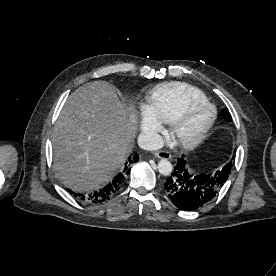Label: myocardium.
<instances>
[{"mask_svg":"<svg viewBox=\"0 0 276 276\" xmlns=\"http://www.w3.org/2000/svg\"><path fill=\"white\" fill-rule=\"evenodd\" d=\"M199 105H207L211 107L212 109V116L209 120V122L204 126V128L198 132L195 135L192 136H184L181 133L182 127L191 112L192 109ZM217 109L214 104L209 102L207 99H198L189 102L183 110L180 112V114L170 123L171 124V134L175 141L184 148H193L201 144L205 138L207 137L208 133L212 129L213 125L215 124V121L217 119Z\"/></svg>","mask_w":276,"mask_h":276,"instance_id":"1","label":"myocardium"}]
</instances>
